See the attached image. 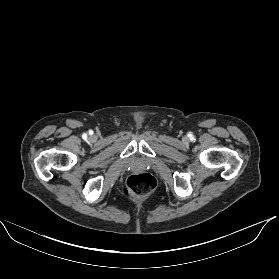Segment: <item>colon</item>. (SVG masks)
<instances>
[{
	"label": "colon",
	"instance_id": "obj_1",
	"mask_svg": "<svg viewBox=\"0 0 279 279\" xmlns=\"http://www.w3.org/2000/svg\"><path fill=\"white\" fill-rule=\"evenodd\" d=\"M156 187V180L148 173L131 175L125 187V192L136 197L148 196Z\"/></svg>",
	"mask_w": 279,
	"mask_h": 279
}]
</instances>
